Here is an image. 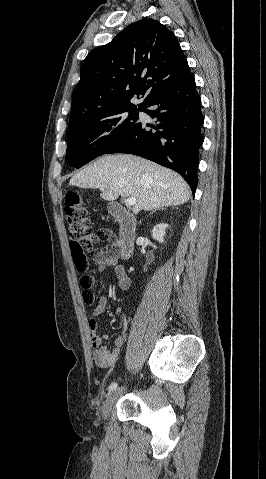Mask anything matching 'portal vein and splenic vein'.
I'll list each match as a JSON object with an SVG mask.
<instances>
[{
    "label": "portal vein and splenic vein",
    "instance_id": "obj_1",
    "mask_svg": "<svg viewBox=\"0 0 266 479\" xmlns=\"http://www.w3.org/2000/svg\"><path fill=\"white\" fill-rule=\"evenodd\" d=\"M100 190L102 191V190H104V189H103V188H100ZM136 202H137V200H136L135 197H128V198L126 199V204H127L128 206H134V205L136 204Z\"/></svg>",
    "mask_w": 266,
    "mask_h": 479
}]
</instances>
